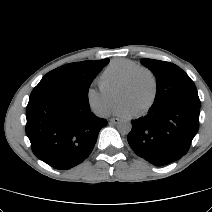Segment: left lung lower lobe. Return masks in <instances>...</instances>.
Returning a JSON list of instances; mask_svg holds the SVG:
<instances>
[{
	"instance_id": "obj_1",
	"label": "left lung lower lobe",
	"mask_w": 212,
	"mask_h": 212,
	"mask_svg": "<svg viewBox=\"0 0 212 212\" xmlns=\"http://www.w3.org/2000/svg\"><path fill=\"white\" fill-rule=\"evenodd\" d=\"M199 108L183 102L152 105L145 117L131 121L132 150L155 166L177 161L189 150L199 129Z\"/></svg>"
}]
</instances>
